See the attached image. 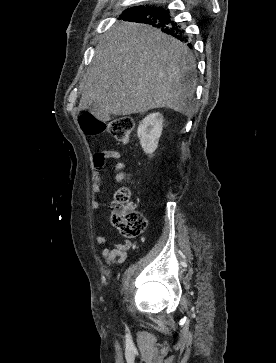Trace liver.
Masks as SVG:
<instances>
[{
    "mask_svg": "<svg viewBox=\"0 0 276 363\" xmlns=\"http://www.w3.org/2000/svg\"><path fill=\"white\" fill-rule=\"evenodd\" d=\"M196 63L186 44L146 24L121 22L96 46L78 110L125 116L168 108L187 116L196 88ZM191 78L188 79V76Z\"/></svg>",
    "mask_w": 276,
    "mask_h": 363,
    "instance_id": "1",
    "label": "liver"
}]
</instances>
